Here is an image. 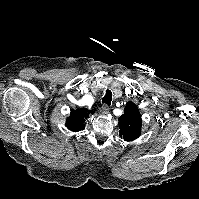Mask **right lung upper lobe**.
<instances>
[{"instance_id": "obj_1", "label": "right lung upper lobe", "mask_w": 199, "mask_h": 199, "mask_svg": "<svg viewBox=\"0 0 199 199\" xmlns=\"http://www.w3.org/2000/svg\"><path fill=\"white\" fill-rule=\"evenodd\" d=\"M90 113L92 114L93 110L89 111L86 108L71 110V114L66 120L67 128L73 132L83 130L85 128V119L89 116Z\"/></svg>"}]
</instances>
